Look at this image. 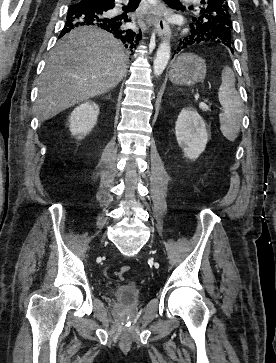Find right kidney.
<instances>
[{
	"mask_svg": "<svg viewBox=\"0 0 276 363\" xmlns=\"http://www.w3.org/2000/svg\"><path fill=\"white\" fill-rule=\"evenodd\" d=\"M99 107L88 101L76 107L68 118L69 128L73 136L83 139L97 123Z\"/></svg>",
	"mask_w": 276,
	"mask_h": 363,
	"instance_id": "obj_1",
	"label": "right kidney"
}]
</instances>
